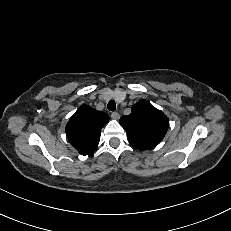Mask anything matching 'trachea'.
<instances>
[{"instance_id": "3493384b", "label": "trachea", "mask_w": 231, "mask_h": 231, "mask_svg": "<svg viewBox=\"0 0 231 231\" xmlns=\"http://www.w3.org/2000/svg\"><path fill=\"white\" fill-rule=\"evenodd\" d=\"M108 110L115 111L116 110V103L114 100H110L107 105Z\"/></svg>"}]
</instances>
